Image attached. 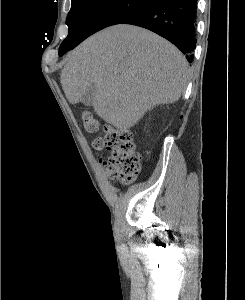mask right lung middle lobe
Segmentation results:
<instances>
[{"mask_svg":"<svg viewBox=\"0 0 245 300\" xmlns=\"http://www.w3.org/2000/svg\"><path fill=\"white\" fill-rule=\"evenodd\" d=\"M154 0H72L66 24L69 32L59 55L74 48L93 33L138 13Z\"/></svg>","mask_w":245,"mask_h":300,"instance_id":"dd1d6c3e","label":"right lung middle lobe"}]
</instances>
